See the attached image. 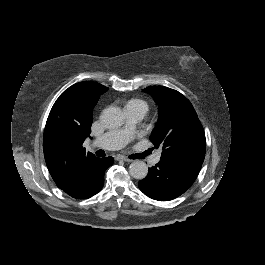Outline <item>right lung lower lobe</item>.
I'll list each match as a JSON object with an SVG mask.
<instances>
[{
	"label": "right lung lower lobe",
	"mask_w": 265,
	"mask_h": 265,
	"mask_svg": "<svg viewBox=\"0 0 265 265\" xmlns=\"http://www.w3.org/2000/svg\"><path fill=\"white\" fill-rule=\"evenodd\" d=\"M113 162L112 157L100 158L92 166L89 175L63 191L76 199H87L95 195L102 189L104 185V172Z\"/></svg>",
	"instance_id": "right-lung-lower-lobe-1"
}]
</instances>
